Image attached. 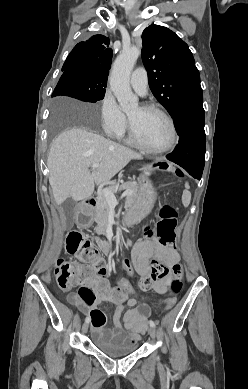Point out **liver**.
Returning a JSON list of instances; mask_svg holds the SVG:
<instances>
[{
	"label": "liver",
	"instance_id": "liver-1",
	"mask_svg": "<svg viewBox=\"0 0 248 389\" xmlns=\"http://www.w3.org/2000/svg\"><path fill=\"white\" fill-rule=\"evenodd\" d=\"M133 159L143 157L85 128L64 131L52 143L47 159L55 202L60 205L68 198L91 197L95 185L110 182ZM94 163L100 165L90 173Z\"/></svg>",
	"mask_w": 248,
	"mask_h": 389
}]
</instances>
